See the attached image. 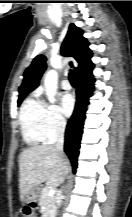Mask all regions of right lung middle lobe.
I'll return each instance as SVG.
<instances>
[{"label":"right lung middle lobe","mask_w":132,"mask_h":217,"mask_svg":"<svg viewBox=\"0 0 132 217\" xmlns=\"http://www.w3.org/2000/svg\"><path fill=\"white\" fill-rule=\"evenodd\" d=\"M23 99H19L18 100V105H20V103L22 102Z\"/></svg>","instance_id":"1"}]
</instances>
